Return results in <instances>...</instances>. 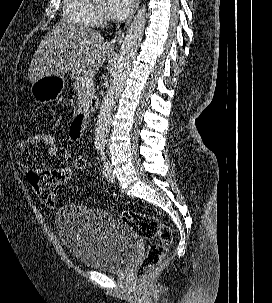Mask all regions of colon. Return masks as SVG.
Listing matches in <instances>:
<instances>
[{
    "label": "colon",
    "instance_id": "colon-1",
    "mask_svg": "<svg viewBox=\"0 0 272 303\" xmlns=\"http://www.w3.org/2000/svg\"><path fill=\"white\" fill-rule=\"evenodd\" d=\"M37 135L38 146L46 151L57 148V138L50 131H42ZM74 168L79 172H84L87 168V161L83 155H76L73 159ZM27 178L41 202L46 206L55 204L53 193L41 191L37 185L32 172L27 174ZM121 220L130 226L143 239L158 238L159 241L149 246L146 255L140 263L137 274L140 278L146 277L167 255L168 247L173 239L171 227L163 224L155 216L136 211H124Z\"/></svg>",
    "mask_w": 272,
    "mask_h": 303
}]
</instances>
